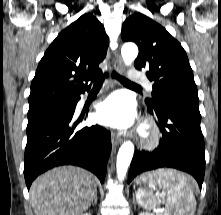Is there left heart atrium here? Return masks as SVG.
Instances as JSON below:
<instances>
[{
  "label": "left heart atrium",
  "instance_id": "39dd6f15",
  "mask_svg": "<svg viewBox=\"0 0 221 215\" xmlns=\"http://www.w3.org/2000/svg\"><path fill=\"white\" fill-rule=\"evenodd\" d=\"M100 123L119 129L131 127L136 118L132 101L122 93H116L99 104L96 113Z\"/></svg>",
  "mask_w": 221,
  "mask_h": 215
}]
</instances>
